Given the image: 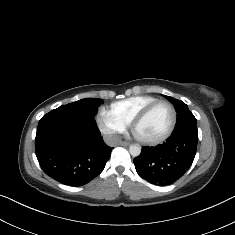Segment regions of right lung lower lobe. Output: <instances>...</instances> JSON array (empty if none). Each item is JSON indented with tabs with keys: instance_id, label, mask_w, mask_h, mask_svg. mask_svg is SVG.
<instances>
[{
	"instance_id": "obj_1",
	"label": "right lung lower lobe",
	"mask_w": 235,
	"mask_h": 235,
	"mask_svg": "<svg viewBox=\"0 0 235 235\" xmlns=\"http://www.w3.org/2000/svg\"><path fill=\"white\" fill-rule=\"evenodd\" d=\"M35 150L49 177L82 186L102 172L112 148L104 143L93 116L55 109L39 121Z\"/></svg>"
}]
</instances>
